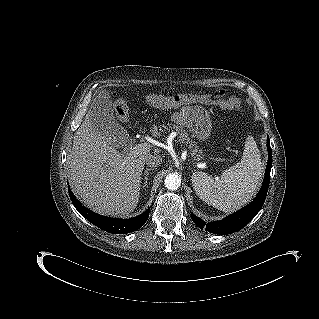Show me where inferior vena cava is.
Here are the masks:
<instances>
[{
    "mask_svg": "<svg viewBox=\"0 0 319 319\" xmlns=\"http://www.w3.org/2000/svg\"><path fill=\"white\" fill-rule=\"evenodd\" d=\"M146 164L150 168L159 167L162 164V157L157 154L150 155L146 160Z\"/></svg>",
    "mask_w": 319,
    "mask_h": 319,
    "instance_id": "inferior-vena-cava-1",
    "label": "inferior vena cava"
}]
</instances>
